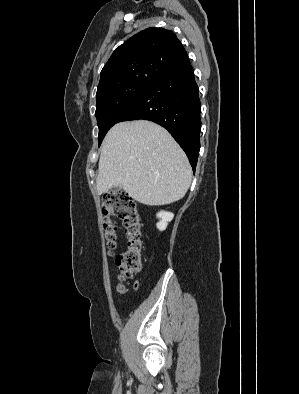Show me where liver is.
<instances>
[{
  "label": "liver",
  "instance_id": "6515ba94",
  "mask_svg": "<svg viewBox=\"0 0 299 394\" xmlns=\"http://www.w3.org/2000/svg\"><path fill=\"white\" fill-rule=\"evenodd\" d=\"M191 180L184 151L168 131L153 122L117 123L103 140L98 194L120 187L142 204L166 205L184 197Z\"/></svg>",
  "mask_w": 299,
  "mask_h": 394
}]
</instances>
